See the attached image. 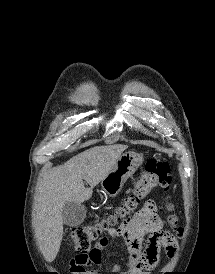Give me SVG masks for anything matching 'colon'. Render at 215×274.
<instances>
[{"label": "colon", "instance_id": "obj_1", "mask_svg": "<svg viewBox=\"0 0 215 274\" xmlns=\"http://www.w3.org/2000/svg\"><path fill=\"white\" fill-rule=\"evenodd\" d=\"M171 183L170 167L167 162L149 159L144 171L136 179L129 195L116 211L98 223L81 225L72 229L70 239L74 248L80 254H87L93 249L94 242L98 241L100 234L109 226L127 217L142 203V201L156 188L167 191ZM173 206L170 198L164 199L163 210L167 213L166 223L171 227L172 233L165 232L167 240L174 241L183 233L177 227L176 217L171 213Z\"/></svg>", "mask_w": 215, "mask_h": 274}]
</instances>
